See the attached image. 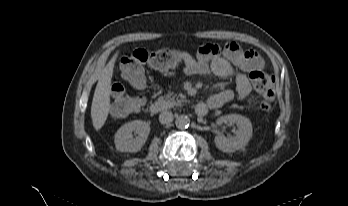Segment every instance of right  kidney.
<instances>
[{"mask_svg": "<svg viewBox=\"0 0 348 206\" xmlns=\"http://www.w3.org/2000/svg\"><path fill=\"white\" fill-rule=\"evenodd\" d=\"M133 132L135 137H133ZM150 133V124L134 120L122 125L115 134L114 143L120 152L135 153L141 150Z\"/></svg>", "mask_w": 348, "mask_h": 206, "instance_id": "right-kidney-1", "label": "right kidney"}]
</instances>
